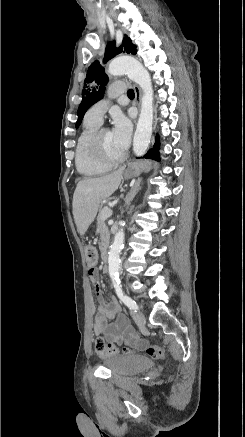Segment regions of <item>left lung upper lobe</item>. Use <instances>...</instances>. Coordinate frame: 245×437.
Returning a JSON list of instances; mask_svg holds the SVG:
<instances>
[{
  "instance_id": "obj_1",
  "label": "left lung upper lobe",
  "mask_w": 245,
  "mask_h": 437,
  "mask_svg": "<svg viewBox=\"0 0 245 437\" xmlns=\"http://www.w3.org/2000/svg\"><path fill=\"white\" fill-rule=\"evenodd\" d=\"M120 53L136 54V46L132 44L130 38L127 36L123 39L122 45L118 48L115 47V42H109L107 44L103 62L106 63L110 58H113ZM107 81L108 77L105 74L101 62L98 60L94 61L88 68L86 79L84 81L82 102L79 105L77 112L78 120L76 122V128L81 124L83 116L88 108L98 100L102 99ZM90 85H95V87H90Z\"/></svg>"
}]
</instances>
